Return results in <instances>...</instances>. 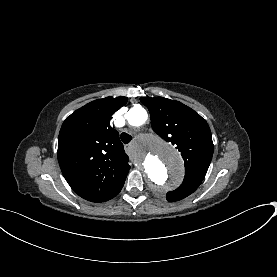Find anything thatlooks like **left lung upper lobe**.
<instances>
[{"label": "left lung upper lobe", "mask_w": 277, "mask_h": 277, "mask_svg": "<svg viewBox=\"0 0 277 277\" xmlns=\"http://www.w3.org/2000/svg\"><path fill=\"white\" fill-rule=\"evenodd\" d=\"M140 101L150 112L153 130L176 145L184 159V180L166 195L169 202L181 200L192 194L206 175L214 148L210 128L198 113L179 101L163 97H141Z\"/></svg>", "instance_id": "5c2ea615"}]
</instances>
